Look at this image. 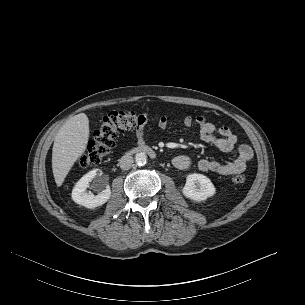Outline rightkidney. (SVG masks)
I'll return each instance as SVG.
<instances>
[{
  "label": "right kidney",
  "mask_w": 305,
  "mask_h": 305,
  "mask_svg": "<svg viewBox=\"0 0 305 305\" xmlns=\"http://www.w3.org/2000/svg\"><path fill=\"white\" fill-rule=\"evenodd\" d=\"M98 171V169L90 171L76 183L72 190V199L75 203L92 209L98 206H102L109 200L111 196L109 185L103 186L105 189H103L97 195H94L91 192H86V189L89 187L90 182L97 175Z\"/></svg>",
  "instance_id": "right-kidney-1"
}]
</instances>
